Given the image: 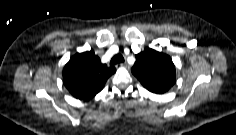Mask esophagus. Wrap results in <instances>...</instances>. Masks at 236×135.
I'll return each mask as SVG.
<instances>
[{"instance_id": "34e87169", "label": "esophagus", "mask_w": 236, "mask_h": 135, "mask_svg": "<svg viewBox=\"0 0 236 135\" xmlns=\"http://www.w3.org/2000/svg\"><path fill=\"white\" fill-rule=\"evenodd\" d=\"M120 66H122V67H128V64H127V62L125 61V62L121 63Z\"/></svg>"}]
</instances>
